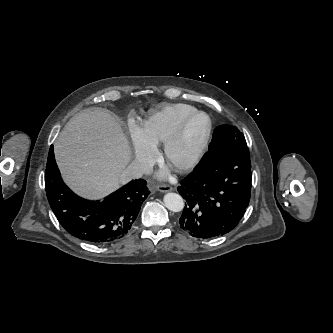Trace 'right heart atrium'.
<instances>
[{"mask_svg":"<svg viewBox=\"0 0 333 333\" xmlns=\"http://www.w3.org/2000/svg\"><path fill=\"white\" fill-rule=\"evenodd\" d=\"M129 133L136 162L142 167H148L156 157L155 147L145 139L141 127L136 123L130 122Z\"/></svg>","mask_w":333,"mask_h":333,"instance_id":"right-heart-atrium-1","label":"right heart atrium"}]
</instances>
